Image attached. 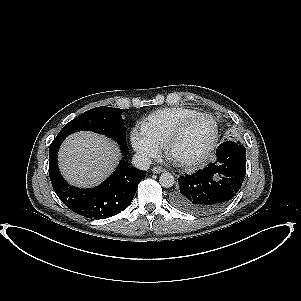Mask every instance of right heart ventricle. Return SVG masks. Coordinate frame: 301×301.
Here are the masks:
<instances>
[{"label": "right heart ventricle", "instance_id": "obj_1", "mask_svg": "<svg viewBox=\"0 0 301 301\" xmlns=\"http://www.w3.org/2000/svg\"><path fill=\"white\" fill-rule=\"evenodd\" d=\"M199 112L186 107L163 108L149 114L141 122V130L159 146L164 145L168 136L187 118Z\"/></svg>", "mask_w": 301, "mask_h": 301}]
</instances>
